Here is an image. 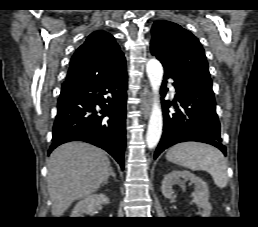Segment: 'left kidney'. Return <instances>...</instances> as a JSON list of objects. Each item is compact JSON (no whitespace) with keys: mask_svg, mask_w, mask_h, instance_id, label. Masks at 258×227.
Returning a JSON list of instances; mask_svg holds the SVG:
<instances>
[{"mask_svg":"<svg viewBox=\"0 0 258 227\" xmlns=\"http://www.w3.org/2000/svg\"><path fill=\"white\" fill-rule=\"evenodd\" d=\"M180 178L189 180L195 185L192 193L193 202L202 208L201 217H210L212 206L209 202V190L207 184L195 174L187 170H173L164 176L162 181V193L166 198H171L174 194L172 186L179 182Z\"/></svg>","mask_w":258,"mask_h":227,"instance_id":"5707ae66","label":"left kidney"}]
</instances>
